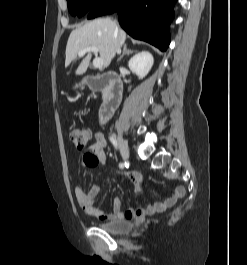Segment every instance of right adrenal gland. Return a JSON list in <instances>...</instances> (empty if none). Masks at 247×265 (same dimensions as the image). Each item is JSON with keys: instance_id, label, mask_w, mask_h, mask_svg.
<instances>
[{"instance_id": "right-adrenal-gland-1", "label": "right adrenal gland", "mask_w": 247, "mask_h": 265, "mask_svg": "<svg viewBox=\"0 0 247 265\" xmlns=\"http://www.w3.org/2000/svg\"><path fill=\"white\" fill-rule=\"evenodd\" d=\"M136 51L130 50L127 48V46L125 45L123 48V53L122 55L118 58L117 62L121 61V59L125 56V55H130L135 53Z\"/></svg>"}]
</instances>
